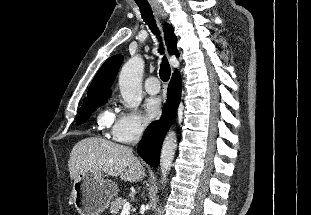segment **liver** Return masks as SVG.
<instances>
[{
  "instance_id": "liver-1",
  "label": "liver",
  "mask_w": 311,
  "mask_h": 215,
  "mask_svg": "<svg viewBox=\"0 0 311 215\" xmlns=\"http://www.w3.org/2000/svg\"><path fill=\"white\" fill-rule=\"evenodd\" d=\"M69 173L75 180L82 171L119 176L127 182L142 181L145 171L131 148L103 138L89 137L75 144L68 161Z\"/></svg>"
}]
</instances>
